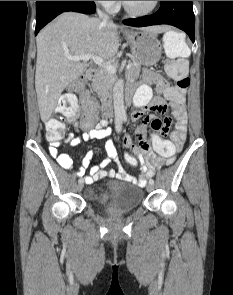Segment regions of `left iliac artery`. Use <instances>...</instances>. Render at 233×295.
Here are the masks:
<instances>
[{
  "instance_id": "obj_1",
  "label": "left iliac artery",
  "mask_w": 233,
  "mask_h": 295,
  "mask_svg": "<svg viewBox=\"0 0 233 295\" xmlns=\"http://www.w3.org/2000/svg\"><path fill=\"white\" fill-rule=\"evenodd\" d=\"M124 121H126V118H124ZM149 184H153L154 185V180L153 179H149Z\"/></svg>"
}]
</instances>
